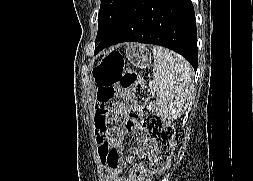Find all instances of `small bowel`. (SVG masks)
<instances>
[{"instance_id": "small-bowel-1", "label": "small bowel", "mask_w": 253, "mask_h": 181, "mask_svg": "<svg viewBox=\"0 0 253 181\" xmlns=\"http://www.w3.org/2000/svg\"><path fill=\"white\" fill-rule=\"evenodd\" d=\"M133 107L132 93L122 91L108 115L95 119L93 130L96 134L98 154L107 181L152 180V172L148 169V163L156 156L157 150L152 141L144 137L136 128L135 120L128 117ZM124 115L126 119L123 127H113V124H116L119 118ZM119 132L131 133L140 146L139 151L130 152L124 160L121 159L122 142L117 136ZM137 158H141L142 162L135 163Z\"/></svg>"}]
</instances>
